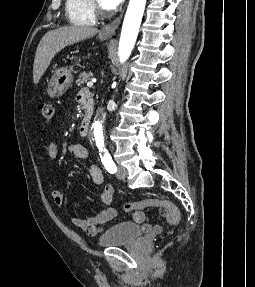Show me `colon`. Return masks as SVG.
<instances>
[{"label": "colon", "mask_w": 255, "mask_h": 287, "mask_svg": "<svg viewBox=\"0 0 255 287\" xmlns=\"http://www.w3.org/2000/svg\"><path fill=\"white\" fill-rule=\"evenodd\" d=\"M39 113L42 119L49 123L54 117V107L50 103H42L38 107ZM161 207L165 209L170 217V224L173 229L177 228L181 223V214L177 207L170 201L164 199H145L142 201L128 202L124 205L123 210L125 212H131L136 210H141L148 207Z\"/></svg>", "instance_id": "obj_1"}]
</instances>
